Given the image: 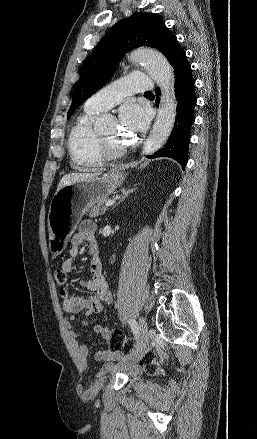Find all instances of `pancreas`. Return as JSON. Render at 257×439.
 Wrapping results in <instances>:
<instances>
[{
  "label": "pancreas",
  "instance_id": "1",
  "mask_svg": "<svg viewBox=\"0 0 257 439\" xmlns=\"http://www.w3.org/2000/svg\"><path fill=\"white\" fill-rule=\"evenodd\" d=\"M108 199L106 197L98 198L91 202L83 211V214L89 215L90 217H96L102 215L107 210V207L103 206Z\"/></svg>",
  "mask_w": 257,
  "mask_h": 439
}]
</instances>
